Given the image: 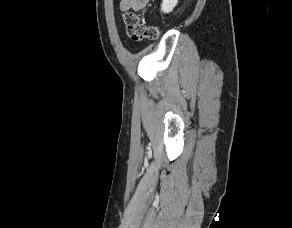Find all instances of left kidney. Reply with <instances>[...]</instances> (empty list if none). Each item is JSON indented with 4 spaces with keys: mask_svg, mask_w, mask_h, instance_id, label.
Returning <instances> with one entry per match:
<instances>
[{
    "mask_svg": "<svg viewBox=\"0 0 292 228\" xmlns=\"http://www.w3.org/2000/svg\"><path fill=\"white\" fill-rule=\"evenodd\" d=\"M178 0H163L161 4V11L164 13H169L177 5Z\"/></svg>",
    "mask_w": 292,
    "mask_h": 228,
    "instance_id": "obj_1",
    "label": "left kidney"
}]
</instances>
